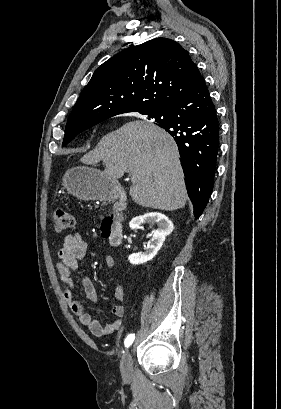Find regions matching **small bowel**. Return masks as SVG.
Masks as SVG:
<instances>
[{
  "instance_id": "small-bowel-1",
  "label": "small bowel",
  "mask_w": 281,
  "mask_h": 409,
  "mask_svg": "<svg viewBox=\"0 0 281 409\" xmlns=\"http://www.w3.org/2000/svg\"><path fill=\"white\" fill-rule=\"evenodd\" d=\"M86 252L87 244L82 237L78 233L68 234L58 250L57 271L63 284L64 299L71 311L78 317L83 326L88 327L94 336L103 337L118 331L122 326L125 316V307L122 303L125 299V292L121 286L115 287L114 297L117 303L112 309L114 319L106 325H101L84 310L83 305L75 299L73 289L75 286V272L78 269L79 261L85 257ZM104 263L108 268L114 267V257L107 255ZM80 282L87 299L93 304H98L99 299L93 282L88 277H82Z\"/></svg>"
}]
</instances>
